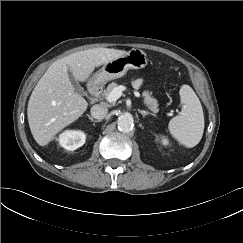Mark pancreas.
I'll return each mask as SVG.
<instances>
[{"label":"pancreas","instance_id":"cf45deb5","mask_svg":"<svg viewBox=\"0 0 243 243\" xmlns=\"http://www.w3.org/2000/svg\"><path fill=\"white\" fill-rule=\"evenodd\" d=\"M117 82L110 83L103 92V96L107 97L109 93L115 88L118 87ZM143 103L154 113L158 112V101L152 96V92L144 91L142 93Z\"/></svg>","mask_w":243,"mask_h":243}]
</instances>
